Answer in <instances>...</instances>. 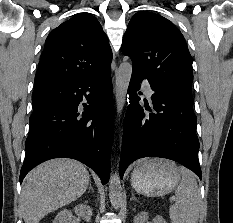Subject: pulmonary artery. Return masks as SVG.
<instances>
[{
    "label": "pulmonary artery",
    "instance_id": "pulmonary-artery-1",
    "mask_svg": "<svg viewBox=\"0 0 233 223\" xmlns=\"http://www.w3.org/2000/svg\"><path fill=\"white\" fill-rule=\"evenodd\" d=\"M143 78H146V75H143ZM141 85L146 96L150 98L153 95V90L151 88L150 82L145 79L142 81Z\"/></svg>",
    "mask_w": 233,
    "mask_h": 223
}]
</instances>
